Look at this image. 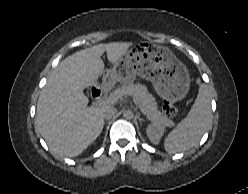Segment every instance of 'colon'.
<instances>
[{"label": "colon", "mask_w": 248, "mask_h": 194, "mask_svg": "<svg viewBox=\"0 0 248 194\" xmlns=\"http://www.w3.org/2000/svg\"><path fill=\"white\" fill-rule=\"evenodd\" d=\"M162 110L167 117L173 118L176 115V106L174 100L172 98L165 99Z\"/></svg>", "instance_id": "5ec220e1"}]
</instances>
